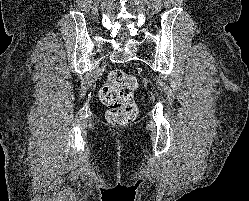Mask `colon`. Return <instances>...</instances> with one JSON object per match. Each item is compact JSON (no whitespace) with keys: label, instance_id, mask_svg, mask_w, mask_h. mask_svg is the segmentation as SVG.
Segmentation results:
<instances>
[{"label":"colon","instance_id":"colon-1","mask_svg":"<svg viewBox=\"0 0 249 201\" xmlns=\"http://www.w3.org/2000/svg\"><path fill=\"white\" fill-rule=\"evenodd\" d=\"M136 85L137 80L121 69L109 73L99 95L101 102L108 107L106 118L112 126H126L135 120L138 107L131 91Z\"/></svg>","mask_w":249,"mask_h":201}]
</instances>
